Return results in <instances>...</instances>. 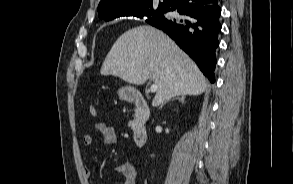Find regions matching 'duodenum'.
<instances>
[{"mask_svg": "<svg viewBox=\"0 0 293 184\" xmlns=\"http://www.w3.org/2000/svg\"><path fill=\"white\" fill-rule=\"evenodd\" d=\"M132 100L135 105L133 141L136 146L142 147L147 141L146 123L150 116V108L145 98L140 94H135Z\"/></svg>", "mask_w": 293, "mask_h": 184, "instance_id": "obj_1", "label": "duodenum"}]
</instances>
